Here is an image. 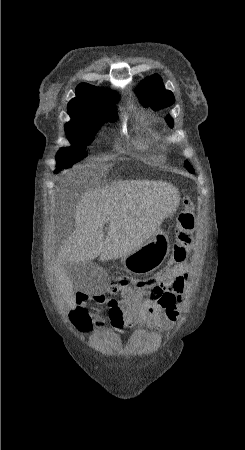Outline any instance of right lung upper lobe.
Returning a JSON list of instances; mask_svg holds the SVG:
<instances>
[{
	"mask_svg": "<svg viewBox=\"0 0 245 450\" xmlns=\"http://www.w3.org/2000/svg\"><path fill=\"white\" fill-rule=\"evenodd\" d=\"M76 98L68 104V113L75 116L78 112L97 105L115 107L117 96L109 90L81 83L76 88Z\"/></svg>",
	"mask_w": 245,
	"mask_h": 450,
	"instance_id": "right-lung-upper-lobe-1",
	"label": "right lung upper lobe"
}]
</instances>
